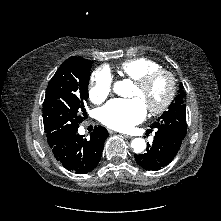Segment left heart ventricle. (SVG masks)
Wrapping results in <instances>:
<instances>
[{
	"label": "left heart ventricle",
	"instance_id": "1",
	"mask_svg": "<svg viewBox=\"0 0 221 221\" xmlns=\"http://www.w3.org/2000/svg\"><path fill=\"white\" fill-rule=\"evenodd\" d=\"M168 92V80L166 77H158L147 88L141 90L134 87L133 97L140 98L146 107L158 106L162 103Z\"/></svg>",
	"mask_w": 221,
	"mask_h": 221
}]
</instances>
